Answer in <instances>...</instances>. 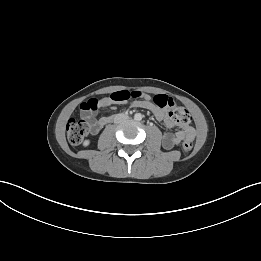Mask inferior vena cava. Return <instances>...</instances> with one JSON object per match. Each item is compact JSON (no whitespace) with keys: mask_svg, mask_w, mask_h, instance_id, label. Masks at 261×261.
<instances>
[{"mask_svg":"<svg viewBox=\"0 0 261 261\" xmlns=\"http://www.w3.org/2000/svg\"><path fill=\"white\" fill-rule=\"evenodd\" d=\"M127 118H128L127 115L119 114V115L116 117L115 121H116V122H118V121H124V120H126Z\"/></svg>","mask_w":261,"mask_h":261,"instance_id":"obj_1","label":"inferior vena cava"}]
</instances>
